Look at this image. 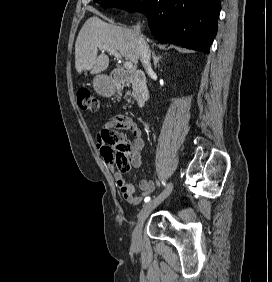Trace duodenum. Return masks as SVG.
<instances>
[{
	"label": "duodenum",
	"instance_id": "obj_1",
	"mask_svg": "<svg viewBox=\"0 0 272 282\" xmlns=\"http://www.w3.org/2000/svg\"><path fill=\"white\" fill-rule=\"evenodd\" d=\"M132 81L135 84V103L137 108H141L149 99V90L146 84L145 74L138 69L124 71H114L109 79L103 84V90L112 94L113 89L124 82Z\"/></svg>",
	"mask_w": 272,
	"mask_h": 282
}]
</instances>
